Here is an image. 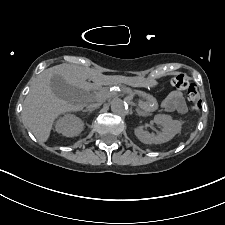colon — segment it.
<instances>
[{
  "label": "colon",
  "mask_w": 225,
  "mask_h": 225,
  "mask_svg": "<svg viewBox=\"0 0 225 225\" xmlns=\"http://www.w3.org/2000/svg\"><path fill=\"white\" fill-rule=\"evenodd\" d=\"M171 84L178 90H186L190 107L194 111L200 110L202 106V100L198 91V88L192 84L185 75H176L171 79Z\"/></svg>",
  "instance_id": "colon-1"
}]
</instances>
